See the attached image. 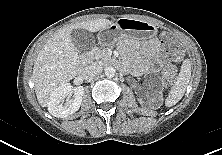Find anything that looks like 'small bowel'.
<instances>
[{"label":"small bowel","instance_id":"small-bowel-1","mask_svg":"<svg viewBox=\"0 0 222 155\" xmlns=\"http://www.w3.org/2000/svg\"><path fill=\"white\" fill-rule=\"evenodd\" d=\"M157 53H158V43L156 40H151L146 47L147 55V65L155 68L157 65Z\"/></svg>","mask_w":222,"mask_h":155}]
</instances>
